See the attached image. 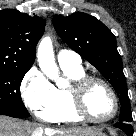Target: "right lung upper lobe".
Returning <instances> with one entry per match:
<instances>
[{"label":"right lung upper lobe","mask_w":136,"mask_h":136,"mask_svg":"<svg viewBox=\"0 0 136 136\" xmlns=\"http://www.w3.org/2000/svg\"><path fill=\"white\" fill-rule=\"evenodd\" d=\"M45 21L14 9L0 10V67L30 69Z\"/></svg>","instance_id":"1"}]
</instances>
